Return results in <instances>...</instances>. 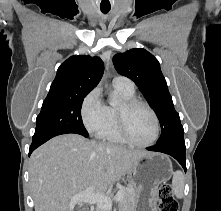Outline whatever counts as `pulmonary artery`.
I'll list each match as a JSON object with an SVG mask.
<instances>
[{
	"mask_svg": "<svg viewBox=\"0 0 221 211\" xmlns=\"http://www.w3.org/2000/svg\"><path fill=\"white\" fill-rule=\"evenodd\" d=\"M113 86L127 91H134L133 81L125 76H116L113 79Z\"/></svg>",
	"mask_w": 221,
	"mask_h": 211,
	"instance_id": "obj_1",
	"label": "pulmonary artery"
}]
</instances>
